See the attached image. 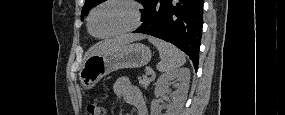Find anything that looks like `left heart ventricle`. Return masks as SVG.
<instances>
[{
  "instance_id": "left-heart-ventricle-1",
  "label": "left heart ventricle",
  "mask_w": 285,
  "mask_h": 115,
  "mask_svg": "<svg viewBox=\"0 0 285 115\" xmlns=\"http://www.w3.org/2000/svg\"><path fill=\"white\" fill-rule=\"evenodd\" d=\"M131 23L132 15L127 6L118 3H108L95 11L91 27L96 34H107L127 28Z\"/></svg>"
}]
</instances>
